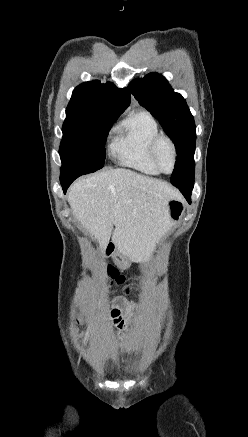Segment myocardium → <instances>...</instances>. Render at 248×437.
<instances>
[{
	"instance_id": "f54148a6",
	"label": "myocardium",
	"mask_w": 248,
	"mask_h": 437,
	"mask_svg": "<svg viewBox=\"0 0 248 437\" xmlns=\"http://www.w3.org/2000/svg\"><path fill=\"white\" fill-rule=\"evenodd\" d=\"M164 142L168 143V145L171 148L172 155H173L172 168L169 171L164 170L159 162V149H160L161 144ZM150 157H151V160H152L154 166L158 169V171L160 173H163V174L172 173L176 168L177 158H178L177 148H176V145H175L173 139L167 135H164V134H159L158 136H156L150 145Z\"/></svg>"
}]
</instances>
